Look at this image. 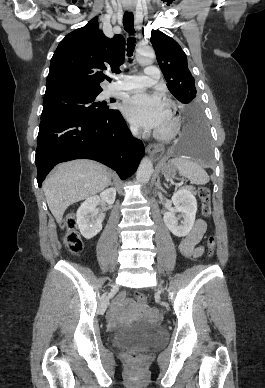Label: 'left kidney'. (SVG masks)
Segmentation results:
<instances>
[{"label": "left kidney", "instance_id": "left-kidney-1", "mask_svg": "<svg viewBox=\"0 0 265 388\" xmlns=\"http://www.w3.org/2000/svg\"><path fill=\"white\" fill-rule=\"evenodd\" d=\"M172 204H174L175 210H169V212L163 214L164 224L174 236L184 238V236H188L194 226L197 212L196 198L188 188H181V190L173 194ZM176 212H180V216L184 218L181 226L177 224L178 218H175Z\"/></svg>", "mask_w": 265, "mask_h": 388}]
</instances>
